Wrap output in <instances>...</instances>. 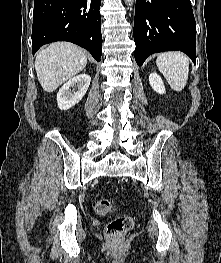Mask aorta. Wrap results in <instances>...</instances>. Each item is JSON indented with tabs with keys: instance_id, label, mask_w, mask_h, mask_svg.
Segmentation results:
<instances>
[{
	"instance_id": "1",
	"label": "aorta",
	"mask_w": 221,
	"mask_h": 263,
	"mask_svg": "<svg viewBox=\"0 0 221 263\" xmlns=\"http://www.w3.org/2000/svg\"><path fill=\"white\" fill-rule=\"evenodd\" d=\"M125 2L130 4L133 2V0H125Z\"/></svg>"
}]
</instances>
